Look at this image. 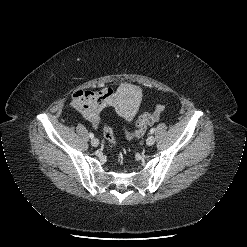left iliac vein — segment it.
Returning a JSON list of instances; mask_svg holds the SVG:
<instances>
[{"label":"left iliac vein","mask_w":247,"mask_h":247,"mask_svg":"<svg viewBox=\"0 0 247 247\" xmlns=\"http://www.w3.org/2000/svg\"><path fill=\"white\" fill-rule=\"evenodd\" d=\"M147 145L151 146L155 143V137L153 135H150L146 140Z\"/></svg>","instance_id":"4c4485c4"}]
</instances>
